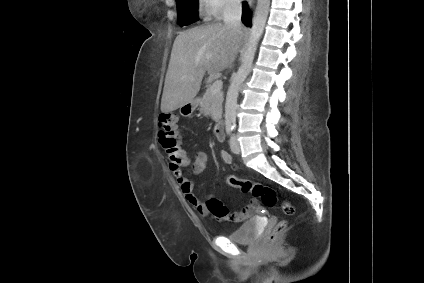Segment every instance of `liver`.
<instances>
[{
    "label": "liver",
    "instance_id": "liver-1",
    "mask_svg": "<svg viewBox=\"0 0 424 283\" xmlns=\"http://www.w3.org/2000/svg\"><path fill=\"white\" fill-rule=\"evenodd\" d=\"M243 39L225 24L197 26L176 37L166 73L161 112H172L198 94L207 72L215 75L234 63Z\"/></svg>",
    "mask_w": 424,
    "mask_h": 283
}]
</instances>
